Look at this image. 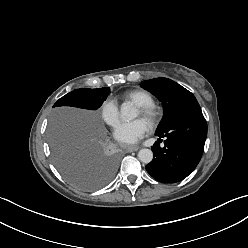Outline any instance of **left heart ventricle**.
I'll list each match as a JSON object with an SVG mask.
<instances>
[{"mask_svg": "<svg viewBox=\"0 0 248 248\" xmlns=\"http://www.w3.org/2000/svg\"><path fill=\"white\" fill-rule=\"evenodd\" d=\"M139 116H141V115H140L139 110H137V112H136V117H139Z\"/></svg>", "mask_w": 248, "mask_h": 248, "instance_id": "1", "label": "left heart ventricle"}]
</instances>
